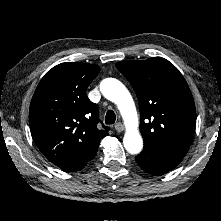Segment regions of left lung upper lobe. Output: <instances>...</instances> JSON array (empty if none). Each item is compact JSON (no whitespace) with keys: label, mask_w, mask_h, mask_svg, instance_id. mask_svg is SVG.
Returning a JSON list of instances; mask_svg holds the SVG:
<instances>
[{"label":"left lung upper lobe","mask_w":221,"mask_h":221,"mask_svg":"<svg viewBox=\"0 0 221 221\" xmlns=\"http://www.w3.org/2000/svg\"><path fill=\"white\" fill-rule=\"evenodd\" d=\"M115 66L138 98L144 145L185 156L194 136L196 110L182 74L161 57L120 61Z\"/></svg>","instance_id":"1"}]
</instances>
